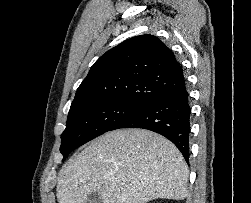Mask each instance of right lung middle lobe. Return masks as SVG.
I'll list each match as a JSON object with an SVG mask.
<instances>
[{
    "label": "right lung middle lobe",
    "mask_w": 251,
    "mask_h": 203,
    "mask_svg": "<svg viewBox=\"0 0 251 203\" xmlns=\"http://www.w3.org/2000/svg\"><path fill=\"white\" fill-rule=\"evenodd\" d=\"M143 105L130 102H88L71 105L67 124L61 135L63 160L75 148L111 131L116 124Z\"/></svg>",
    "instance_id": "obj_1"
}]
</instances>
